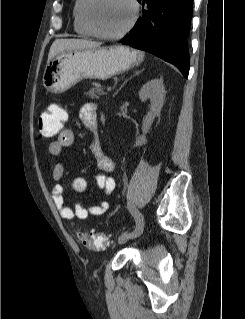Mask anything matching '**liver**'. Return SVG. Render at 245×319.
Here are the masks:
<instances>
[{
  "instance_id": "obj_1",
  "label": "liver",
  "mask_w": 245,
  "mask_h": 319,
  "mask_svg": "<svg viewBox=\"0 0 245 319\" xmlns=\"http://www.w3.org/2000/svg\"><path fill=\"white\" fill-rule=\"evenodd\" d=\"M101 43L86 39H57L53 42L49 54L48 61L63 51L92 49L100 47Z\"/></svg>"
}]
</instances>
